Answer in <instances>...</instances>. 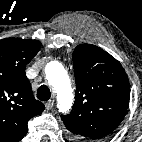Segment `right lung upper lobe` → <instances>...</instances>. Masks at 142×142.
I'll use <instances>...</instances> for the list:
<instances>
[{
  "instance_id": "right-lung-upper-lobe-1",
  "label": "right lung upper lobe",
  "mask_w": 142,
  "mask_h": 142,
  "mask_svg": "<svg viewBox=\"0 0 142 142\" xmlns=\"http://www.w3.org/2000/svg\"><path fill=\"white\" fill-rule=\"evenodd\" d=\"M37 40H0V142H18L28 132L27 123L45 106L33 96L26 65L38 53Z\"/></svg>"
}]
</instances>
